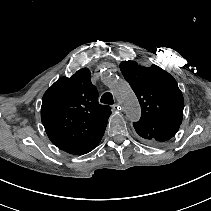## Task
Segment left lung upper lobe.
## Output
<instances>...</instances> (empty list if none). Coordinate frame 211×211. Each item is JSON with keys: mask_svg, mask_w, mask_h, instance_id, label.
I'll return each mask as SVG.
<instances>
[{"mask_svg": "<svg viewBox=\"0 0 211 211\" xmlns=\"http://www.w3.org/2000/svg\"><path fill=\"white\" fill-rule=\"evenodd\" d=\"M120 69L141 106V118L133 123L136 132L145 144L162 145L182 123L184 99L176 80L156 65L147 68L125 61Z\"/></svg>", "mask_w": 211, "mask_h": 211, "instance_id": "5c2ea615", "label": "left lung upper lobe"}]
</instances>
